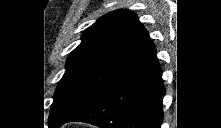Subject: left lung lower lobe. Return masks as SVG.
I'll return each instance as SVG.
<instances>
[{
	"instance_id": "obj_1",
	"label": "left lung lower lobe",
	"mask_w": 221,
	"mask_h": 128,
	"mask_svg": "<svg viewBox=\"0 0 221 128\" xmlns=\"http://www.w3.org/2000/svg\"><path fill=\"white\" fill-rule=\"evenodd\" d=\"M161 76L154 47L99 99L67 122H86L100 128H160L165 95Z\"/></svg>"
}]
</instances>
